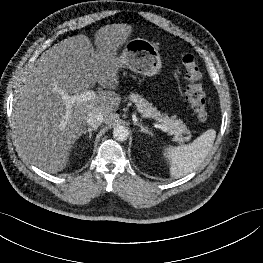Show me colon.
Masks as SVG:
<instances>
[{
	"label": "colon",
	"instance_id": "5ec220e1",
	"mask_svg": "<svg viewBox=\"0 0 263 263\" xmlns=\"http://www.w3.org/2000/svg\"><path fill=\"white\" fill-rule=\"evenodd\" d=\"M181 64L188 82L185 98L197 119L206 121L208 119V108L205 91L200 83L202 75L194 55L188 52L184 53L181 57Z\"/></svg>",
	"mask_w": 263,
	"mask_h": 263
}]
</instances>
